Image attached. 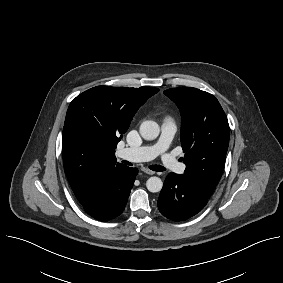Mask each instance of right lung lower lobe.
Here are the masks:
<instances>
[{
    "instance_id": "98d812e1",
    "label": "right lung lower lobe",
    "mask_w": 283,
    "mask_h": 283,
    "mask_svg": "<svg viewBox=\"0 0 283 283\" xmlns=\"http://www.w3.org/2000/svg\"><path fill=\"white\" fill-rule=\"evenodd\" d=\"M137 173V168L123 164L105 169L96 177L88 197L80 202L84 210L100 221L111 220L120 215Z\"/></svg>"
}]
</instances>
